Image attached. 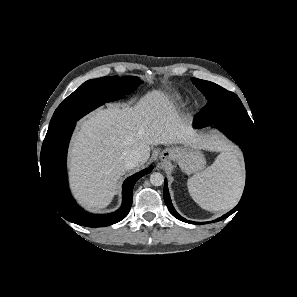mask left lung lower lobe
<instances>
[{"label": "left lung lower lobe", "mask_w": 297, "mask_h": 297, "mask_svg": "<svg viewBox=\"0 0 297 297\" xmlns=\"http://www.w3.org/2000/svg\"><path fill=\"white\" fill-rule=\"evenodd\" d=\"M193 126L196 128L205 127V126H200L195 122H194ZM215 127L220 129L229 139H231L233 142H235L243 151L244 158H245V165H246V184H245L243 195H242L241 200L239 201L238 205L235 208H233L227 214L223 215L222 217H220L214 221H210V222L188 221L185 218H183L182 216H180L174 209V207L171 203V199H170L168 188H167V180L165 179V185H164L165 203H166L169 211L171 212V214L183 222H188L190 224H207V223H212L215 221H220L224 218H227L228 216H230L231 214L236 212L239 208H241L243 206V204L247 201V199L251 193L252 186L254 183V172H256L257 163H258V157H257L258 141L256 140L255 132L244 129L239 126L228 124V123L217 124V125H215Z\"/></svg>", "instance_id": "1"}]
</instances>
